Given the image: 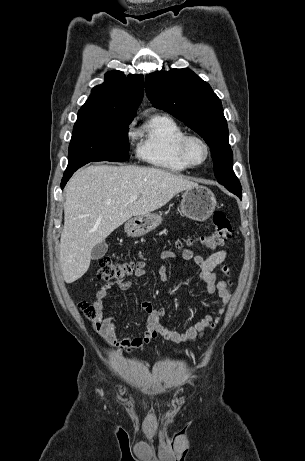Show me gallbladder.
<instances>
[{"label": "gallbladder", "mask_w": 305, "mask_h": 461, "mask_svg": "<svg viewBox=\"0 0 305 461\" xmlns=\"http://www.w3.org/2000/svg\"><path fill=\"white\" fill-rule=\"evenodd\" d=\"M108 250V245L105 242H101L94 246V248L91 251V258L93 260H98L102 258Z\"/></svg>", "instance_id": "1"}]
</instances>
